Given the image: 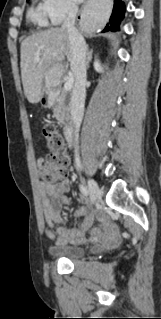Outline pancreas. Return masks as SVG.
<instances>
[{
  "instance_id": "pancreas-1",
  "label": "pancreas",
  "mask_w": 161,
  "mask_h": 319,
  "mask_svg": "<svg viewBox=\"0 0 161 319\" xmlns=\"http://www.w3.org/2000/svg\"><path fill=\"white\" fill-rule=\"evenodd\" d=\"M53 113L59 124H66L68 122L69 114L66 107V93L64 90L60 91L56 96Z\"/></svg>"
}]
</instances>
